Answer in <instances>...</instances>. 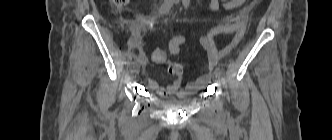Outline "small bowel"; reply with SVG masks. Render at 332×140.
I'll use <instances>...</instances> for the list:
<instances>
[{
	"label": "small bowel",
	"mask_w": 332,
	"mask_h": 140,
	"mask_svg": "<svg viewBox=\"0 0 332 140\" xmlns=\"http://www.w3.org/2000/svg\"><path fill=\"white\" fill-rule=\"evenodd\" d=\"M246 0H211L207 11H216L219 7H223L228 10L236 9L242 6ZM249 9L244 12L243 17L244 19L247 17ZM246 30V22L242 20L237 25V30L233 41L224 49L217 50L212 37L211 36H203L200 38L199 42L200 45L205 49L207 52V68L208 72L199 77L197 80L189 83L186 87L181 88V80H182V68L179 64H172L169 67L170 74L175 76V80L173 83L168 84L166 86H161L158 82L153 80L147 70V64H144L143 69V76L147 86L154 91L158 96L167 97L171 95H176L178 98H184L189 95L194 94L195 92L199 91L200 89L204 88L211 79V72L215 68V66L219 63V61L228 55L240 42ZM186 37L184 35H177L171 39L169 42V51L173 55H177L181 51L182 45L185 43ZM155 51L152 54V59L156 63L155 59Z\"/></svg>",
	"instance_id": "c3829d8e"
}]
</instances>
